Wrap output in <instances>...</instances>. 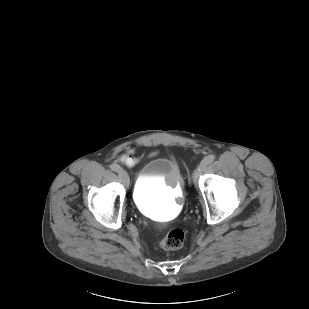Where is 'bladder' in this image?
Segmentation results:
<instances>
[{"instance_id":"bladder-1","label":"bladder","mask_w":309,"mask_h":309,"mask_svg":"<svg viewBox=\"0 0 309 309\" xmlns=\"http://www.w3.org/2000/svg\"><path fill=\"white\" fill-rule=\"evenodd\" d=\"M182 188L183 177L178 164L166 157H156L141 168L133 199L140 211L167 220L177 213Z\"/></svg>"}]
</instances>
